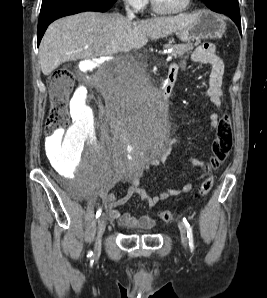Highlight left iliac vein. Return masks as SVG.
<instances>
[{"instance_id":"4c4485c4","label":"left iliac vein","mask_w":267,"mask_h":298,"mask_svg":"<svg viewBox=\"0 0 267 298\" xmlns=\"http://www.w3.org/2000/svg\"><path fill=\"white\" fill-rule=\"evenodd\" d=\"M178 227H179L180 236H181V243H182L183 247L186 248L188 239H187L185 227L181 222L178 223Z\"/></svg>"}]
</instances>
